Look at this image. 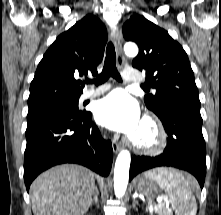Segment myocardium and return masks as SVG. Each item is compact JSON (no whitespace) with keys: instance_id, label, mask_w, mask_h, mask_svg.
<instances>
[{"instance_id":"1","label":"myocardium","mask_w":221,"mask_h":215,"mask_svg":"<svg viewBox=\"0 0 221 215\" xmlns=\"http://www.w3.org/2000/svg\"><path fill=\"white\" fill-rule=\"evenodd\" d=\"M141 125L145 126L149 132V138L140 141L136 137H131L129 143L132 148L139 153L156 154L160 152L166 144V131L162 123L154 116L144 117Z\"/></svg>"}]
</instances>
